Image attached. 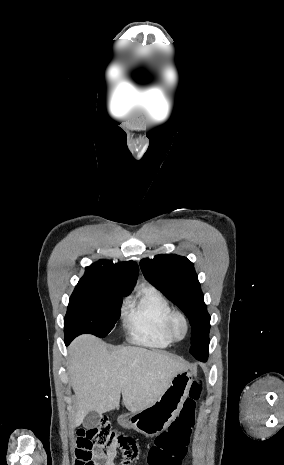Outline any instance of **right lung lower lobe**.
I'll return each instance as SVG.
<instances>
[{"instance_id": "98d812e1", "label": "right lung lower lobe", "mask_w": 284, "mask_h": 465, "mask_svg": "<svg viewBox=\"0 0 284 465\" xmlns=\"http://www.w3.org/2000/svg\"><path fill=\"white\" fill-rule=\"evenodd\" d=\"M73 339H70V338H65V344L66 346L70 344V342L72 341Z\"/></svg>"}]
</instances>
